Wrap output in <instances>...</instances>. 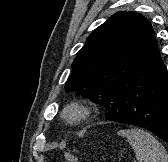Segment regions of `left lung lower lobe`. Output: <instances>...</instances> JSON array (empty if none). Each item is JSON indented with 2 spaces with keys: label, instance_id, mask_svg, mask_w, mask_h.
Here are the masks:
<instances>
[{
  "label": "left lung lower lobe",
  "instance_id": "1",
  "mask_svg": "<svg viewBox=\"0 0 168 162\" xmlns=\"http://www.w3.org/2000/svg\"><path fill=\"white\" fill-rule=\"evenodd\" d=\"M105 118L145 128L168 142V75L158 45L109 98Z\"/></svg>",
  "mask_w": 168,
  "mask_h": 162
}]
</instances>
